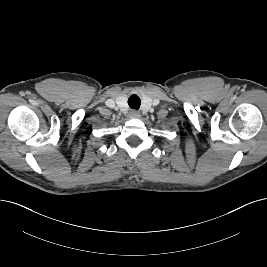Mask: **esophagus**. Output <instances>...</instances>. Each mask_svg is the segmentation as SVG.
Returning <instances> with one entry per match:
<instances>
[{
  "label": "esophagus",
  "mask_w": 267,
  "mask_h": 267,
  "mask_svg": "<svg viewBox=\"0 0 267 267\" xmlns=\"http://www.w3.org/2000/svg\"><path fill=\"white\" fill-rule=\"evenodd\" d=\"M129 116L131 118H139L140 114L138 112H136V111H131Z\"/></svg>",
  "instance_id": "1"
}]
</instances>
